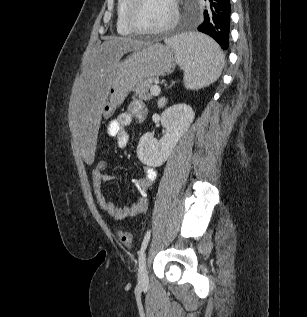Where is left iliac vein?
<instances>
[{"label": "left iliac vein", "instance_id": "left-iliac-vein-1", "mask_svg": "<svg viewBox=\"0 0 307 317\" xmlns=\"http://www.w3.org/2000/svg\"><path fill=\"white\" fill-rule=\"evenodd\" d=\"M149 284L148 272L146 268L145 256L140 257L139 270H138V286L145 288Z\"/></svg>", "mask_w": 307, "mask_h": 317}]
</instances>
